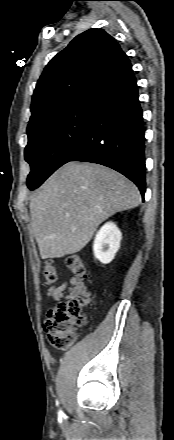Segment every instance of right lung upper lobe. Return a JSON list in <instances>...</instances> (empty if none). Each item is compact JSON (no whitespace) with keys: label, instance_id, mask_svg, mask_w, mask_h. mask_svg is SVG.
I'll return each mask as SVG.
<instances>
[{"label":"right lung upper lobe","instance_id":"cb5924a9","mask_svg":"<svg viewBox=\"0 0 174 440\" xmlns=\"http://www.w3.org/2000/svg\"><path fill=\"white\" fill-rule=\"evenodd\" d=\"M131 68L120 45L103 29L79 34L45 67L33 94L28 126L82 96L94 94Z\"/></svg>","mask_w":174,"mask_h":440}]
</instances>
